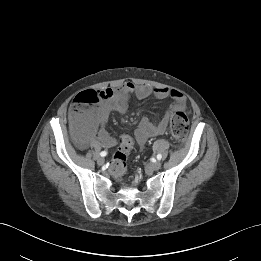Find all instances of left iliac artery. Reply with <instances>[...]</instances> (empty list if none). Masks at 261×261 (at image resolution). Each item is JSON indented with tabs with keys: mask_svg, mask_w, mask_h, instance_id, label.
Returning a JSON list of instances; mask_svg holds the SVG:
<instances>
[{
	"mask_svg": "<svg viewBox=\"0 0 261 261\" xmlns=\"http://www.w3.org/2000/svg\"><path fill=\"white\" fill-rule=\"evenodd\" d=\"M161 158H162V155H161V154H158V155H157V159H158V160H161Z\"/></svg>",
	"mask_w": 261,
	"mask_h": 261,
	"instance_id": "left-iliac-artery-1",
	"label": "left iliac artery"
}]
</instances>
